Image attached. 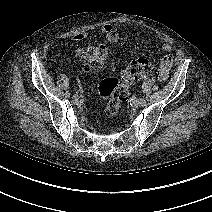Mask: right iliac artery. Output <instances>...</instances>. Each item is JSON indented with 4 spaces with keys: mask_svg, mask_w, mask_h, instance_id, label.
<instances>
[{
    "mask_svg": "<svg viewBox=\"0 0 212 212\" xmlns=\"http://www.w3.org/2000/svg\"><path fill=\"white\" fill-rule=\"evenodd\" d=\"M64 95H65L66 98L70 97V93L69 92H66Z\"/></svg>",
    "mask_w": 212,
    "mask_h": 212,
    "instance_id": "1",
    "label": "right iliac artery"
}]
</instances>
